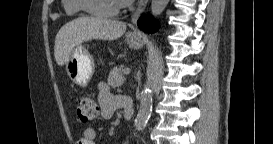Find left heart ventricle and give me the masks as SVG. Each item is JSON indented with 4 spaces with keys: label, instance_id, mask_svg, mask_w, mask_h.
Instances as JSON below:
<instances>
[{
    "label": "left heart ventricle",
    "instance_id": "b2bd125f",
    "mask_svg": "<svg viewBox=\"0 0 273 144\" xmlns=\"http://www.w3.org/2000/svg\"><path fill=\"white\" fill-rule=\"evenodd\" d=\"M92 5L101 10H110L117 7L115 0H94Z\"/></svg>",
    "mask_w": 273,
    "mask_h": 144
}]
</instances>
